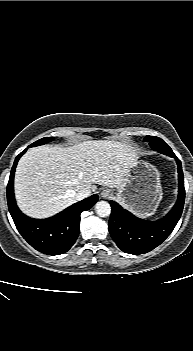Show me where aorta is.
I'll return each instance as SVG.
<instances>
[{
    "instance_id": "aorta-1",
    "label": "aorta",
    "mask_w": 193,
    "mask_h": 351,
    "mask_svg": "<svg viewBox=\"0 0 193 351\" xmlns=\"http://www.w3.org/2000/svg\"><path fill=\"white\" fill-rule=\"evenodd\" d=\"M95 211L99 217H107L111 213L110 204L106 201H99L95 205Z\"/></svg>"
}]
</instances>
